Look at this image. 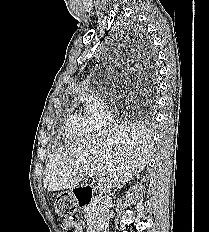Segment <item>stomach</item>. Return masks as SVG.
Masks as SVG:
<instances>
[{
    "label": "stomach",
    "instance_id": "0dacf381",
    "mask_svg": "<svg viewBox=\"0 0 209 232\" xmlns=\"http://www.w3.org/2000/svg\"><path fill=\"white\" fill-rule=\"evenodd\" d=\"M55 203L60 218H64V221H79L75 209L77 206L75 194H56Z\"/></svg>",
    "mask_w": 209,
    "mask_h": 232
}]
</instances>
